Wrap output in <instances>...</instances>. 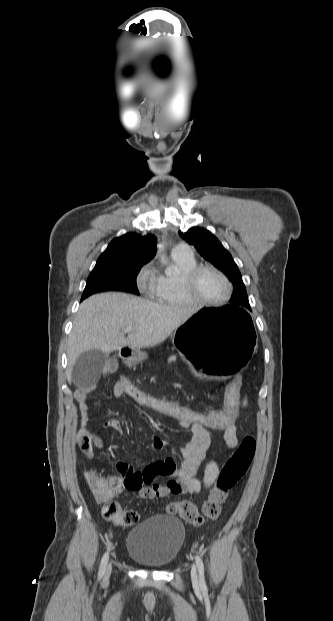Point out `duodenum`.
I'll use <instances>...</instances> for the list:
<instances>
[{
	"mask_svg": "<svg viewBox=\"0 0 333 621\" xmlns=\"http://www.w3.org/2000/svg\"><path fill=\"white\" fill-rule=\"evenodd\" d=\"M130 354H131L130 351L127 350V349L123 351V356L124 357H128Z\"/></svg>",
	"mask_w": 333,
	"mask_h": 621,
	"instance_id": "1",
	"label": "duodenum"
}]
</instances>
